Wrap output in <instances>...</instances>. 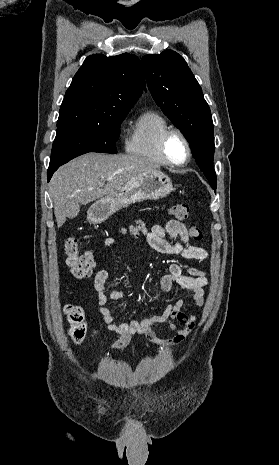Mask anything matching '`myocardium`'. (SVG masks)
Instances as JSON below:
<instances>
[{"mask_svg": "<svg viewBox=\"0 0 279 465\" xmlns=\"http://www.w3.org/2000/svg\"><path fill=\"white\" fill-rule=\"evenodd\" d=\"M173 135H178L183 140V142H184V144L186 146V149H187V156H186L185 160L183 162H180V163L174 162L169 157L168 152H167V143H168L169 139ZM159 149H160L162 157L165 159L167 164H169L171 166H174V167L185 166L190 161V159L192 157L191 143H190L189 139L187 138V136L178 128H169L168 130H166L162 134V136L160 138V142H159Z\"/></svg>", "mask_w": 279, "mask_h": 465, "instance_id": "obj_1", "label": "myocardium"}]
</instances>
